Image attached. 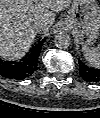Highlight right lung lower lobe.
<instances>
[{"instance_id":"obj_1","label":"right lung lower lobe","mask_w":100,"mask_h":118,"mask_svg":"<svg viewBox=\"0 0 100 118\" xmlns=\"http://www.w3.org/2000/svg\"><path fill=\"white\" fill-rule=\"evenodd\" d=\"M43 42L44 40L38 43L34 50L20 61H1V76L17 80L30 77L38 69V57Z\"/></svg>"}]
</instances>
